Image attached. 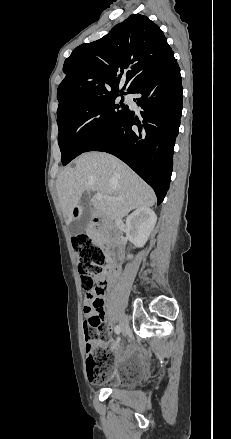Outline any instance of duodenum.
<instances>
[{"label":"duodenum","mask_w":231,"mask_h":439,"mask_svg":"<svg viewBox=\"0 0 231 439\" xmlns=\"http://www.w3.org/2000/svg\"><path fill=\"white\" fill-rule=\"evenodd\" d=\"M100 226H101V218H99V217L93 218L92 222H91V231H92V233L93 234L98 233V231L100 229ZM119 229H120L119 226H116L114 228V231H118ZM111 247H113V244H111ZM113 268H116V269L119 268L118 264H116L114 261L112 262V269Z\"/></svg>","instance_id":"duodenum-1"}]
</instances>
